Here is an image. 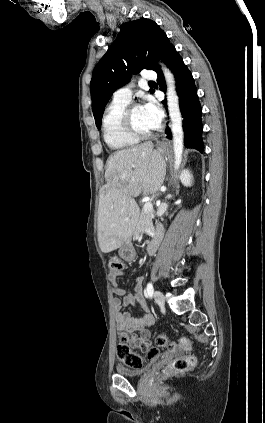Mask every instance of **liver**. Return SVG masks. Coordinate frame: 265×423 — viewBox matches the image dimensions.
<instances>
[{
	"label": "liver",
	"instance_id": "obj_1",
	"mask_svg": "<svg viewBox=\"0 0 265 423\" xmlns=\"http://www.w3.org/2000/svg\"><path fill=\"white\" fill-rule=\"evenodd\" d=\"M166 163L152 142L122 149L106 162L105 192L99 202L98 242L102 252L120 248L131 235L139 215L135 201L155 194L164 182Z\"/></svg>",
	"mask_w": 265,
	"mask_h": 423
}]
</instances>
